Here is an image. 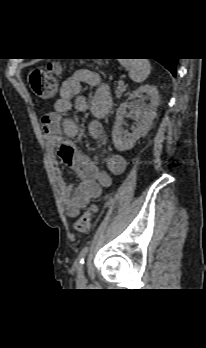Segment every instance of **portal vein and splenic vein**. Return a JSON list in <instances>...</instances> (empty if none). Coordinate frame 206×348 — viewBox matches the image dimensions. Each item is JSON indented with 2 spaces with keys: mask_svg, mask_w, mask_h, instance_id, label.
<instances>
[{
  "mask_svg": "<svg viewBox=\"0 0 206 348\" xmlns=\"http://www.w3.org/2000/svg\"><path fill=\"white\" fill-rule=\"evenodd\" d=\"M118 83H119V84H123L124 82H123V80H120Z\"/></svg>",
  "mask_w": 206,
  "mask_h": 348,
  "instance_id": "obj_1",
  "label": "portal vein and splenic vein"
}]
</instances>
